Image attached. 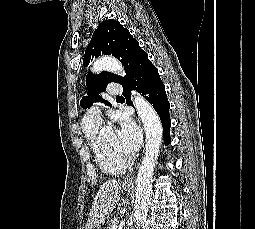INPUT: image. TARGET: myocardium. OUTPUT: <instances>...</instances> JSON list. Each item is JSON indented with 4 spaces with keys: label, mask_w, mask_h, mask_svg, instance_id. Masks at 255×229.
Listing matches in <instances>:
<instances>
[{
    "label": "myocardium",
    "mask_w": 255,
    "mask_h": 229,
    "mask_svg": "<svg viewBox=\"0 0 255 229\" xmlns=\"http://www.w3.org/2000/svg\"><path fill=\"white\" fill-rule=\"evenodd\" d=\"M105 148L120 162L125 163L126 165L131 164L133 161V158L131 156H125L115 150H112L110 147H108L105 143Z\"/></svg>",
    "instance_id": "obj_1"
}]
</instances>
